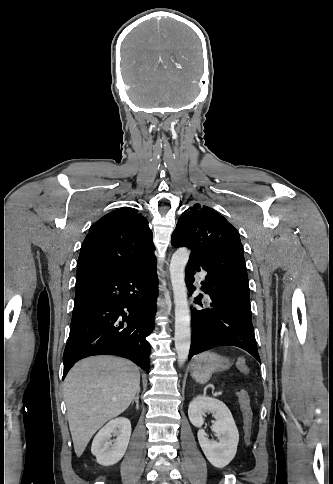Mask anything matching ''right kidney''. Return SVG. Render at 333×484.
Wrapping results in <instances>:
<instances>
[{"mask_svg":"<svg viewBox=\"0 0 333 484\" xmlns=\"http://www.w3.org/2000/svg\"><path fill=\"white\" fill-rule=\"evenodd\" d=\"M112 435L116 436L111 441ZM131 436V423L127 418H116L107 423L95 436L91 452L96 456L97 463L111 466L124 456Z\"/></svg>","mask_w":333,"mask_h":484,"instance_id":"obj_1","label":"right kidney"}]
</instances>
